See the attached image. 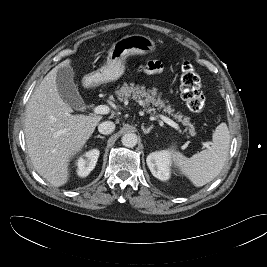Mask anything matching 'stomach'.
<instances>
[{
    "instance_id": "0dacf381",
    "label": "stomach",
    "mask_w": 267,
    "mask_h": 267,
    "mask_svg": "<svg viewBox=\"0 0 267 267\" xmlns=\"http://www.w3.org/2000/svg\"><path fill=\"white\" fill-rule=\"evenodd\" d=\"M155 49V42L148 36L126 35L111 46L106 63L86 76L85 82L89 85H99L115 81L123 75L127 57L145 55L154 52Z\"/></svg>"
}]
</instances>
